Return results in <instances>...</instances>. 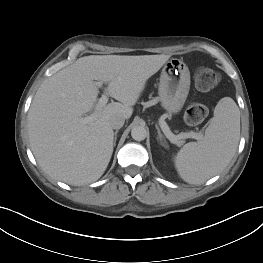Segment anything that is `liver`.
Here are the masks:
<instances>
[{"label":"liver","instance_id":"liver-1","mask_svg":"<svg viewBox=\"0 0 263 263\" xmlns=\"http://www.w3.org/2000/svg\"><path fill=\"white\" fill-rule=\"evenodd\" d=\"M169 58L164 54L84 56L44 80L28 114L30 146L42 170L70 185L97 181L113 153L111 119L131 117L147 80ZM94 80L108 82L106 94L118 102L97 111L99 90ZM92 110L95 120L81 122Z\"/></svg>","mask_w":263,"mask_h":263}]
</instances>
